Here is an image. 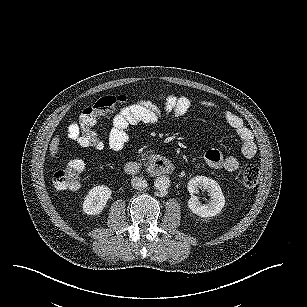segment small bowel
I'll return each instance as SVG.
<instances>
[{
    "label": "small bowel",
    "mask_w": 307,
    "mask_h": 307,
    "mask_svg": "<svg viewBox=\"0 0 307 307\" xmlns=\"http://www.w3.org/2000/svg\"><path fill=\"white\" fill-rule=\"evenodd\" d=\"M164 101L163 111L153 102L140 100L129 106L123 107L112 119V127L108 135V145L112 150H121L129 140V130L137 124H154L162 115L169 120L184 118L194 102L187 96L167 95L161 97ZM206 109L215 108L213 102L201 100L198 102ZM224 118L228 125L236 132L241 141L242 154L246 158L256 155L257 147L251 130L237 114L226 111ZM69 138L79 140L80 130L73 124L69 127ZM206 163L215 169H224L234 172L239 168V161L234 156H224L217 149H209L204 156Z\"/></svg>",
    "instance_id": "c3829d8e"
}]
</instances>
